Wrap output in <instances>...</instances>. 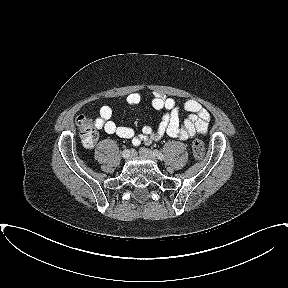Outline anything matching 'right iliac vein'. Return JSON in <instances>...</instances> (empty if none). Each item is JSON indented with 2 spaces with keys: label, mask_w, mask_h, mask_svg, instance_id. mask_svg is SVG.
<instances>
[{
  "label": "right iliac vein",
  "mask_w": 288,
  "mask_h": 288,
  "mask_svg": "<svg viewBox=\"0 0 288 288\" xmlns=\"http://www.w3.org/2000/svg\"><path fill=\"white\" fill-rule=\"evenodd\" d=\"M128 151H129L130 159L135 156L134 151H130V150H128Z\"/></svg>",
  "instance_id": "obj_1"
}]
</instances>
